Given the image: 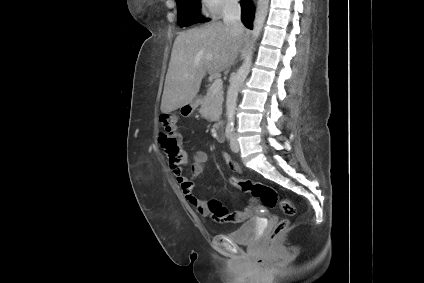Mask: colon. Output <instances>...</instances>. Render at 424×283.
Instances as JSON below:
<instances>
[{"label": "colon", "instance_id": "1", "mask_svg": "<svg viewBox=\"0 0 424 283\" xmlns=\"http://www.w3.org/2000/svg\"><path fill=\"white\" fill-rule=\"evenodd\" d=\"M177 120L178 116L175 113H163L159 116L161 131L158 140L172 169L179 168L187 162L186 153L181 145V138L176 132ZM229 183L240 189L243 193L249 194L255 199H259L266 207L273 208L279 206L288 217H292L296 214L294 203L290 199L280 196L277 190L270 185L250 179L235 177H231ZM208 208L217 220H229L234 216V214H230L222 204L215 199L208 202ZM288 226V219L279 222L269 232L268 241L270 243L275 242L279 236L287 230Z\"/></svg>", "mask_w": 424, "mask_h": 283}]
</instances>
